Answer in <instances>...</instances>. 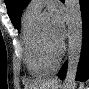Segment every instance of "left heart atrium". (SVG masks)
Wrapping results in <instances>:
<instances>
[{"instance_id": "left-heart-atrium-1", "label": "left heart atrium", "mask_w": 89, "mask_h": 89, "mask_svg": "<svg viewBox=\"0 0 89 89\" xmlns=\"http://www.w3.org/2000/svg\"><path fill=\"white\" fill-rule=\"evenodd\" d=\"M66 35L64 18L59 10H53L51 13V36L54 41L62 44Z\"/></svg>"}]
</instances>
